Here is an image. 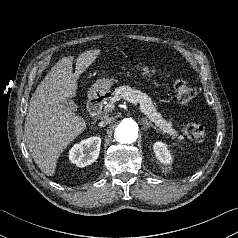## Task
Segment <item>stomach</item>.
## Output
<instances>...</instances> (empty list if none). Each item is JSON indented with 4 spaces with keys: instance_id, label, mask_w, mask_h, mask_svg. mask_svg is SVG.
<instances>
[{
    "instance_id": "obj_1",
    "label": "stomach",
    "mask_w": 238,
    "mask_h": 238,
    "mask_svg": "<svg viewBox=\"0 0 238 238\" xmlns=\"http://www.w3.org/2000/svg\"><path fill=\"white\" fill-rule=\"evenodd\" d=\"M113 85V79L111 78H103L98 80L96 83L92 85L90 88V94L94 97L96 96H104L109 92L111 86Z\"/></svg>"
}]
</instances>
